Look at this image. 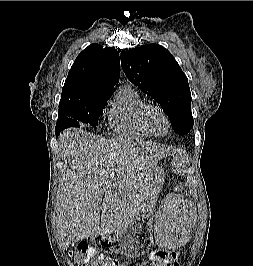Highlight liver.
Listing matches in <instances>:
<instances>
[{"instance_id":"obj_1","label":"liver","mask_w":253,"mask_h":266,"mask_svg":"<svg viewBox=\"0 0 253 266\" xmlns=\"http://www.w3.org/2000/svg\"><path fill=\"white\" fill-rule=\"evenodd\" d=\"M65 179L59 196V234L78 242L116 235L148 207L154 174L170 150L160 144L95 139L70 128L59 136Z\"/></svg>"}]
</instances>
